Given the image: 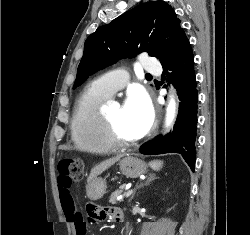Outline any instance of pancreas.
<instances>
[{
    "mask_svg": "<svg viewBox=\"0 0 250 235\" xmlns=\"http://www.w3.org/2000/svg\"><path fill=\"white\" fill-rule=\"evenodd\" d=\"M123 189H124V186H120L119 189L115 190L111 194L110 200H109L111 204H117L120 201V200H117V197L122 193Z\"/></svg>",
    "mask_w": 250,
    "mask_h": 235,
    "instance_id": "cf45deb5",
    "label": "pancreas"
}]
</instances>
